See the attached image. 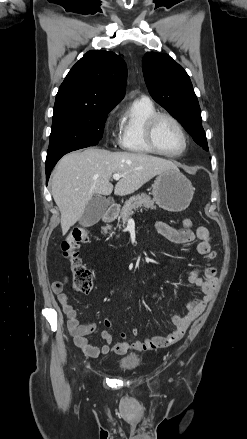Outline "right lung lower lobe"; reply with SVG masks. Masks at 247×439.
<instances>
[{"label": "right lung lower lobe", "mask_w": 247, "mask_h": 439, "mask_svg": "<svg viewBox=\"0 0 247 439\" xmlns=\"http://www.w3.org/2000/svg\"><path fill=\"white\" fill-rule=\"evenodd\" d=\"M55 164H56V163H55ZM55 164L46 167V180H47V181L49 180V177H50L51 171H52V169L54 168Z\"/></svg>", "instance_id": "obj_1"}]
</instances>
